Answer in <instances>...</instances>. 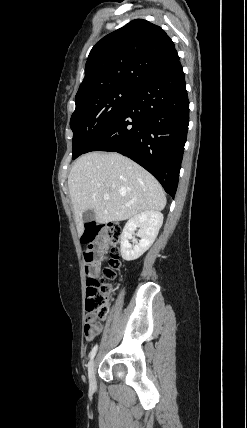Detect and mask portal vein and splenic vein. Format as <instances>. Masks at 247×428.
I'll use <instances>...</instances> for the list:
<instances>
[{
	"label": "portal vein and splenic vein",
	"mask_w": 247,
	"mask_h": 428,
	"mask_svg": "<svg viewBox=\"0 0 247 428\" xmlns=\"http://www.w3.org/2000/svg\"><path fill=\"white\" fill-rule=\"evenodd\" d=\"M104 199L105 200L109 199V195H104Z\"/></svg>",
	"instance_id": "18ae733b"
}]
</instances>
